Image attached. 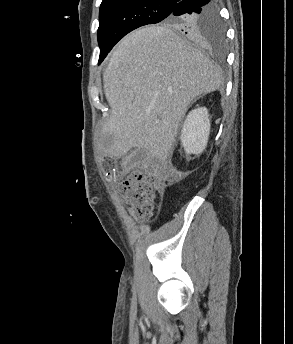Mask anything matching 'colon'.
Wrapping results in <instances>:
<instances>
[{
  "label": "colon",
  "mask_w": 293,
  "mask_h": 344,
  "mask_svg": "<svg viewBox=\"0 0 293 344\" xmlns=\"http://www.w3.org/2000/svg\"><path fill=\"white\" fill-rule=\"evenodd\" d=\"M157 178L135 170L121 184V192L130 211L138 218L153 214L157 195Z\"/></svg>",
  "instance_id": "5ec220e1"
}]
</instances>
